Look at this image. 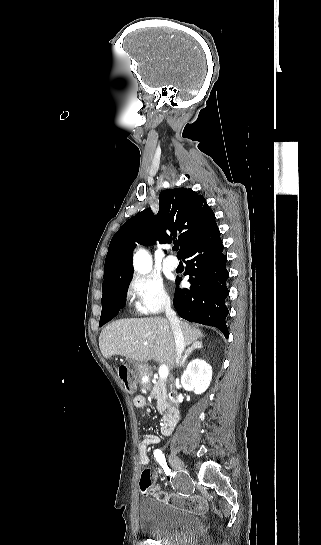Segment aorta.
<instances>
[{
	"instance_id": "aorta-1",
	"label": "aorta",
	"mask_w": 321,
	"mask_h": 545,
	"mask_svg": "<svg viewBox=\"0 0 321 545\" xmlns=\"http://www.w3.org/2000/svg\"><path fill=\"white\" fill-rule=\"evenodd\" d=\"M134 267L141 274L150 272L152 268V260L145 250H139L134 255Z\"/></svg>"
}]
</instances>
